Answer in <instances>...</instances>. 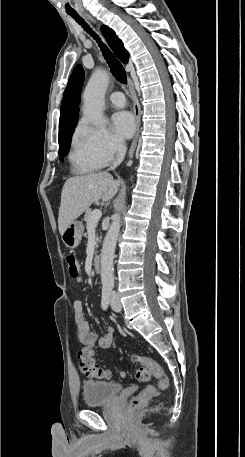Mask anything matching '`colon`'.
<instances>
[{
  "instance_id": "1",
  "label": "colon",
  "mask_w": 245,
  "mask_h": 457,
  "mask_svg": "<svg viewBox=\"0 0 245 457\" xmlns=\"http://www.w3.org/2000/svg\"><path fill=\"white\" fill-rule=\"evenodd\" d=\"M66 263L69 275L72 278L79 276V264L73 254L66 256ZM81 370L89 377L98 379H110L112 376L111 371L105 370L99 366L95 358V352L92 347L84 346L78 353ZM133 360L141 366L135 373V378L138 381H147L151 375L157 379V386L159 389H166L169 386V379L164 373L162 367L152 358L134 356ZM157 394L154 386L144 387L130 402V408L135 410L145 406Z\"/></svg>"
}]
</instances>
